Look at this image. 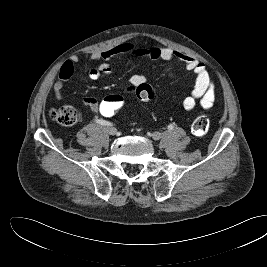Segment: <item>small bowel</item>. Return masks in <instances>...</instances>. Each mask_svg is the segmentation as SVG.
I'll return each mask as SVG.
<instances>
[{
  "mask_svg": "<svg viewBox=\"0 0 267 267\" xmlns=\"http://www.w3.org/2000/svg\"><path fill=\"white\" fill-rule=\"evenodd\" d=\"M120 56H135L149 59H163L166 61L180 60L185 64L188 71L195 76V83L191 93L184 98L182 105L186 111H192L197 102L203 109H209L213 106L215 101V85L207 71L205 65L193 57H190L181 52L175 51L166 46H147L139 47L133 43L126 42L118 44L108 50L91 53L88 57L92 60H103L97 67L92 68L88 72V77L91 80H98L100 78L109 76L112 73V68L108 64V60ZM78 62V57L73 56L65 61L59 70L58 80L55 82L53 90L55 99L62 98V90L67 81L70 80L74 73L75 64ZM130 82L132 87L123 90L121 93L124 96L131 94L135 87L146 82V77L143 74L135 73L131 76ZM83 104L89 107L92 111H98L99 102L94 97H85L82 100Z\"/></svg>",
  "mask_w": 267,
  "mask_h": 267,
  "instance_id": "obj_1",
  "label": "small bowel"
}]
</instances>
